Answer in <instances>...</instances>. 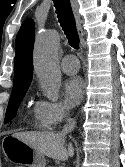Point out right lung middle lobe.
<instances>
[{
	"instance_id": "1",
	"label": "right lung middle lobe",
	"mask_w": 125,
	"mask_h": 167,
	"mask_svg": "<svg viewBox=\"0 0 125 167\" xmlns=\"http://www.w3.org/2000/svg\"><path fill=\"white\" fill-rule=\"evenodd\" d=\"M27 90L28 89L12 93L8 103L4 123L10 122L16 116L17 109Z\"/></svg>"
}]
</instances>
